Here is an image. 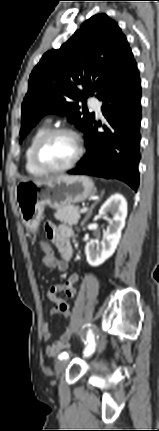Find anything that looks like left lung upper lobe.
<instances>
[{
    "label": "left lung upper lobe",
    "instance_id": "5c2ea615",
    "mask_svg": "<svg viewBox=\"0 0 159 431\" xmlns=\"http://www.w3.org/2000/svg\"><path fill=\"white\" fill-rule=\"evenodd\" d=\"M133 61L115 21L105 14L88 19L59 49L46 52L33 69L22 103V138L49 112L66 115L86 134L94 113L82 114L78 102L85 103L93 94L102 100Z\"/></svg>",
    "mask_w": 159,
    "mask_h": 431
}]
</instances>
